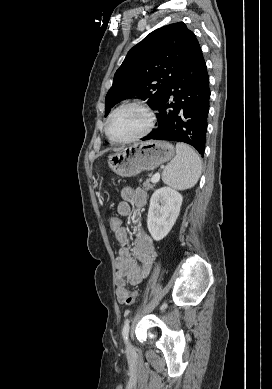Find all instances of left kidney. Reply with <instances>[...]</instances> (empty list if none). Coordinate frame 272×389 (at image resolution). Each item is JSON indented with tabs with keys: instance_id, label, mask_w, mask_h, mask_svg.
<instances>
[{
	"instance_id": "obj_1",
	"label": "left kidney",
	"mask_w": 272,
	"mask_h": 389,
	"mask_svg": "<svg viewBox=\"0 0 272 389\" xmlns=\"http://www.w3.org/2000/svg\"><path fill=\"white\" fill-rule=\"evenodd\" d=\"M182 195L171 187L157 189L151 196L147 227L154 240H162L175 224L182 205Z\"/></svg>"
}]
</instances>
